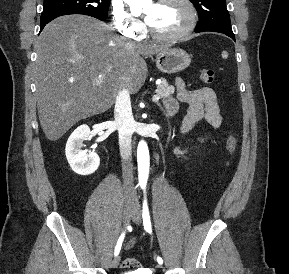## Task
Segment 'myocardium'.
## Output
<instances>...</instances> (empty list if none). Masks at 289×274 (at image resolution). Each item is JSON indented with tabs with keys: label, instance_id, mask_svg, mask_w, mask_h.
I'll return each instance as SVG.
<instances>
[{
	"label": "myocardium",
	"instance_id": "myocardium-1",
	"mask_svg": "<svg viewBox=\"0 0 289 274\" xmlns=\"http://www.w3.org/2000/svg\"><path fill=\"white\" fill-rule=\"evenodd\" d=\"M169 1L170 0H158L156 3L162 4ZM179 1L185 5L188 11V21L186 25L181 30L175 33L162 34L155 31L148 23L147 31L151 37L160 41H177L188 36L194 30L198 19V13L195 4L192 2V0H179Z\"/></svg>",
	"mask_w": 289,
	"mask_h": 274
}]
</instances>
